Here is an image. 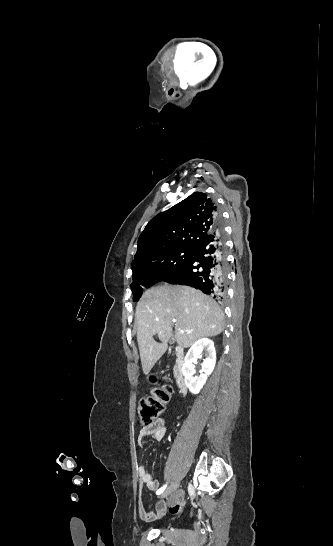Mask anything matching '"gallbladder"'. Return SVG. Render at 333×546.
I'll return each mask as SVG.
<instances>
[{"instance_id": "gallbladder-1", "label": "gallbladder", "mask_w": 333, "mask_h": 546, "mask_svg": "<svg viewBox=\"0 0 333 546\" xmlns=\"http://www.w3.org/2000/svg\"><path fill=\"white\" fill-rule=\"evenodd\" d=\"M170 342H171V343H174V337L171 338V341H170Z\"/></svg>"}]
</instances>
